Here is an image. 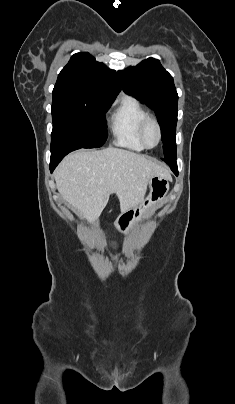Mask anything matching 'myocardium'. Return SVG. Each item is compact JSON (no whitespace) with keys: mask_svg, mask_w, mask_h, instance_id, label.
<instances>
[{"mask_svg":"<svg viewBox=\"0 0 235 404\" xmlns=\"http://www.w3.org/2000/svg\"><path fill=\"white\" fill-rule=\"evenodd\" d=\"M149 124H153L156 127V130H157V142L153 146L149 145L145 140V131H146V128H147V126ZM138 135H139V139H140L141 143L143 144V146L145 148L153 149V148L157 147L160 144L161 139H162V130H161V126H160L158 120L155 117L150 116V115L145 117L142 120V122L140 123L139 130H138Z\"/></svg>","mask_w":235,"mask_h":404,"instance_id":"myocardium-1","label":"myocardium"}]
</instances>
